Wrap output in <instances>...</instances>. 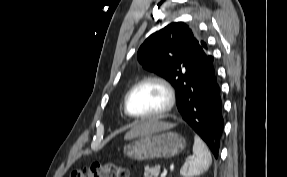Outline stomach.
<instances>
[{
  "label": "stomach",
  "instance_id": "stomach-1",
  "mask_svg": "<svg viewBox=\"0 0 287 177\" xmlns=\"http://www.w3.org/2000/svg\"><path fill=\"white\" fill-rule=\"evenodd\" d=\"M186 140L176 132H152L135 137L124 146V154L135 160L171 158L183 151Z\"/></svg>",
  "mask_w": 287,
  "mask_h": 177
}]
</instances>
